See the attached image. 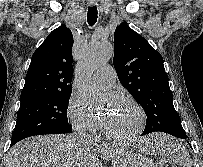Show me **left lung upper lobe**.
<instances>
[{
    "instance_id": "obj_1",
    "label": "left lung upper lobe",
    "mask_w": 203,
    "mask_h": 167,
    "mask_svg": "<svg viewBox=\"0 0 203 167\" xmlns=\"http://www.w3.org/2000/svg\"><path fill=\"white\" fill-rule=\"evenodd\" d=\"M113 64L121 84L147 115L143 134L165 132L186 136L173 105L162 56L126 23L115 30Z\"/></svg>"
}]
</instances>
